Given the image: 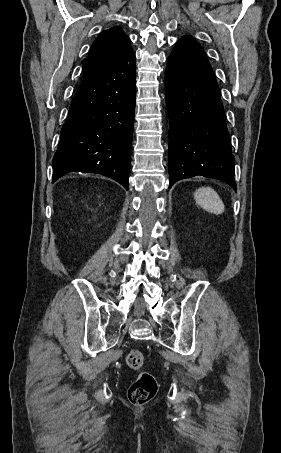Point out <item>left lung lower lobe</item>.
Wrapping results in <instances>:
<instances>
[{
    "label": "left lung lower lobe",
    "mask_w": 281,
    "mask_h": 453,
    "mask_svg": "<svg viewBox=\"0 0 281 453\" xmlns=\"http://www.w3.org/2000/svg\"><path fill=\"white\" fill-rule=\"evenodd\" d=\"M165 94L169 127V188L201 175L235 191L234 157L220 90L201 46L181 38L167 60Z\"/></svg>",
    "instance_id": "1"
}]
</instances>
